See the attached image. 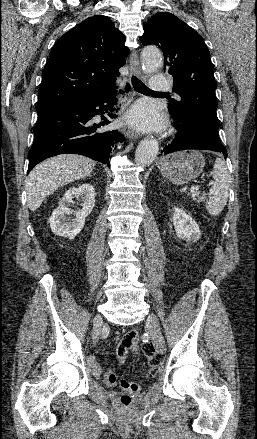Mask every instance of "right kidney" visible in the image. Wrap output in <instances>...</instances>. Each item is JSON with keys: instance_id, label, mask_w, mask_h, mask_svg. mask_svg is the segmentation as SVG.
<instances>
[{"instance_id": "right-kidney-1", "label": "right kidney", "mask_w": 257, "mask_h": 439, "mask_svg": "<svg viewBox=\"0 0 257 439\" xmlns=\"http://www.w3.org/2000/svg\"><path fill=\"white\" fill-rule=\"evenodd\" d=\"M74 199L82 201V208L78 211H73L68 207V204L74 203ZM94 204L95 190L91 184L84 183L77 188H69L49 218L52 232L58 236L74 239L82 230L86 217L91 213ZM71 214H74L76 218L70 220L68 216Z\"/></svg>"}]
</instances>
